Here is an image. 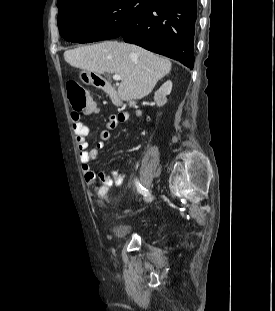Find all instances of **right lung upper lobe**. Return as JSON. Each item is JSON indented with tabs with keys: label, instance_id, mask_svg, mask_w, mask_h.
Listing matches in <instances>:
<instances>
[{
	"label": "right lung upper lobe",
	"instance_id": "1",
	"mask_svg": "<svg viewBox=\"0 0 275 311\" xmlns=\"http://www.w3.org/2000/svg\"><path fill=\"white\" fill-rule=\"evenodd\" d=\"M67 1H71V0H57V6Z\"/></svg>",
	"mask_w": 275,
	"mask_h": 311
}]
</instances>
